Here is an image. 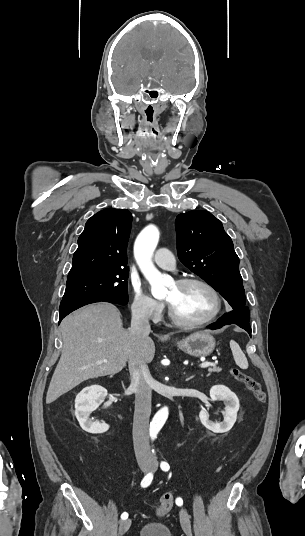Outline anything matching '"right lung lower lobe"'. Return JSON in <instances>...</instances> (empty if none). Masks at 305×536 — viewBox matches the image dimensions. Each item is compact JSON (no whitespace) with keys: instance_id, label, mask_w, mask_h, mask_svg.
I'll use <instances>...</instances> for the list:
<instances>
[{"instance_id":"1","label":"right lung lower lobe","mask_w":305,"mask_h":536,"mask_svg":"<svg viewBox=\"0 0 305 536\" xmlns=\"http://www.w3.org/2000/svg\"><path fill=\"white\" fill-rule=\"evenodd\" d=\"M101 301L102 300H94V299H74V300L61 301L59 323L66 315H68L72 311L84 305L95 303V302H101ZM103 302H107V301H103ZM111 303H114V302H111ZM114 304H117V303H114Z\"/></svg>"}]
</instances>
